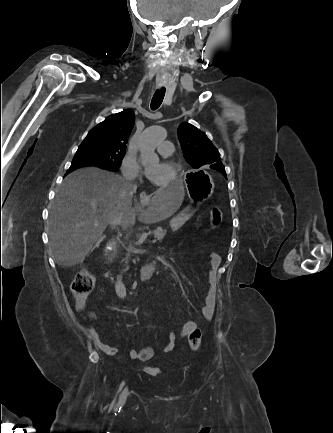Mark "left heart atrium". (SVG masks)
<instances>
[{
  "instance_id": "obj_1",
  "label": "left heart atrium",
  "mask_w": 333,
  "mask_h": 433,
  "mask_svg": "<svg viewBox=\"0 0 333 433\" xmlns=\"http://www.w3.org/2000/svg\"><path fill=\"white\" fill-rule=\"evenodd\" d=\"M145 173L149 179H151L153 181H157L159 169L157 167H154V166H149L146 168Z\"/></svg>"
}]
</instances>
